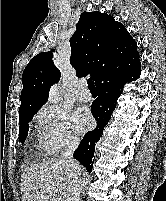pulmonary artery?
<instances>
[{
	"label": "pulmonary artery",
	"mask_w": 166,
	"mask_h": 201,
	"mask_svg": "<svg viewBox=\"0 0 166 201\" xmlns=\"http://www.w3.org/2000/svg\"><path fill=\"white\" fill-rule=\"evenodd\" d=\"M76 97L79 101L89 102L92 99V95L85 82H82L76 92Z\"/></svg>",
	"instance_id": "e3ab8cb5"
}]
</instances>
